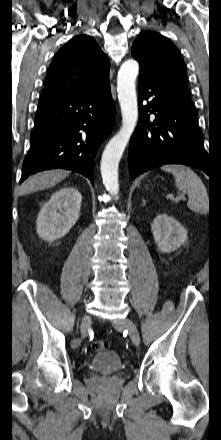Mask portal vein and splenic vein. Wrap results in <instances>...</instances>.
I'll list each match as a JSON object with an SVG mask.
<instances>
[{"mask_svg":"<svg viewBox=\"0 0 221 440\" xmlns=\"http://www.w3.org/2000/svg\"><path fill=\"white\" fill-rule=\"evenodd\" d=\"M167 198L170 199V200L176 201V202L181 200V197H174L173 194H168Z\"/></svg>","mask_w":221,"mask_h":440,"instance_id":"portal-vein-and-splenic-vein-1","label":"portal vein and splenic vein"}]
</instances>
